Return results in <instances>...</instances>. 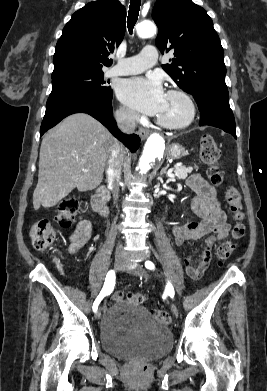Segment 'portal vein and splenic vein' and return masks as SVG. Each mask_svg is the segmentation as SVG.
Returning a JSON list of instances; mask_svg holds the SVG:
<instances>
[{
    "label": "portal vein and splenic vein",
    "instance_id": "18ae733b",
    "mask_svg": "<svg viewBox=\"0 0 267 391\" xmlns=\"http://www.w3.org/2000/svg\"><path fill=\"white\" fill-rule=\"evenodd\" d=\"M84 172H87L88 170L87 169H83Z\"/></svg>",
    "mask_w": 267,
    "mask_h": 391
}]
</instances>
